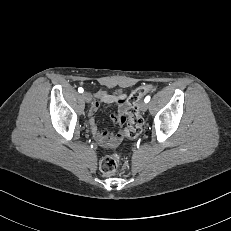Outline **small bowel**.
Masks as SVG:
<instances>
[{"mask_svg":"<svg viewBox=\"0 0 231 231\" xmlns=\"http://www.w3.org/2000/svg\"><path fill=\"white\" fill-rule=\"evenodd\" d=\"M96 100L90 107L89 115V125L90 130L95 138V140L102 146L115 147L117 146L122 137L123 133L121 130L116 132L111 131H101L98 127V121L96 118V113L100 107V104L106 105H116L117 111L111 114L112 121L121 127L125 123L124 114L127 106V94L123 92L110 93L108 91H99L95 94Z\"/></svg>","mask_w":231,"mask_h":231,"instance_id":"c3829d8e","label":"small bowel"}]
</instances>
